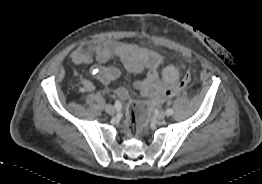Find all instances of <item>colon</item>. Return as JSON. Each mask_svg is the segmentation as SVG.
<instances>
[{"label": "colon", "mask_w": 262, "mask_h": 184, "mask_svg": "<svg viewBox=\"0 0 262 184\" xmlns=\"http://www.w3.org/2000/svg\"><path fill=\"white\" fill-rule=\"evenodd\" d=\"M191 76L189 71H186L182 79L172 88L167 89L162 95L156 98V101H162L167 98L176 96L180 94L190 82ZM117 95L126 100L128 98V92L124 87H119L116 91ZM146 108L145 104H136L134 102H129V112H130V127L134 128L137 125H142L146 119Z\"/></svg>", "instance_id": "colon-1"}]
</instances>
